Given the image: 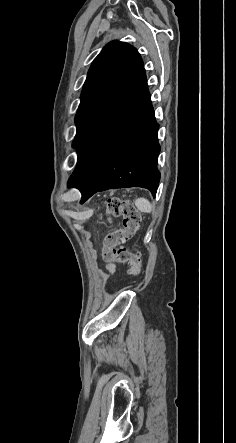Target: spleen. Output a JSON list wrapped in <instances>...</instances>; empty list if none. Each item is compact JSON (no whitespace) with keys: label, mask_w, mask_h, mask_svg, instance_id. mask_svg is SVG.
<instances>
[{"label":"spleen","mask_w":236,"mask_h":443,"mask_svg":"<svg viewBox=\"0 0 236 443\" xmlns=\"http://www.w3.org/2000/svg\"><path fill=\"white\" fill-rule=\"evenodd\" d=\"M135 205L138 208V210L143 213H150L153 209L152 204L146 198L136 199Z\"/></svg>","instance_id":"3e777b00"}]
</instances>
